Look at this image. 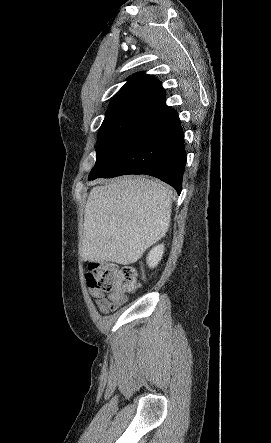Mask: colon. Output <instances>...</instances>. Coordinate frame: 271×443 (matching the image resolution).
Instances as JSON below:
<instances>
[{"label": "colon", "instance_id": "colon-1", "mask_svg": "<svg viewBox=\"0 0 271 443\" xmlns=\"http://www.w3.org/2000/svg\"><path fill=\"white\" fill-rule=\"evenodd\" d=\"M135 278L133 268L106 263L92 266L86 275V282L89 288L104 294L126 297L136 289Z\"/></svg>", "mask_w": 271, "mask_h": 443}]
</instances>
